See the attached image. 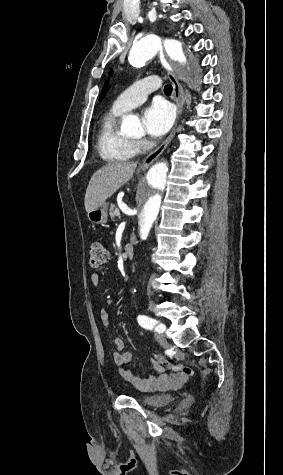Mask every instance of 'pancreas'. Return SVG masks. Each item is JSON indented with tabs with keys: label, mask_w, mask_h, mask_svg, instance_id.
<instances>
[{
	"label": "pancreas",
	"mask_w": 283,
	"mask_h": 475,
	"mask_svg": "<svg viewBox=\"0 0 283 475\" xmlns=\"http://www.w3.org/2000/svg\"><path fill=\"white\" fill-rule=\"evenodd\" d=\"M111 218H114V216H116L115 214V206H113V204H111L110 206V212H109Z\"/></svg>",
	"instance_id": "cf45deb5"
}]
</instances>
